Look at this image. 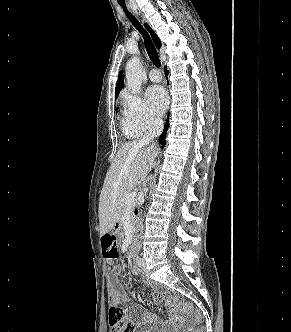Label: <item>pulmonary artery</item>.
Segmentation results:
<instances>
[{
  "instance_id": "pulmonary-artery-1",
  "label": "pulmonary artery",
  "mask_w": 291,
  "mask_h": 332,
  "mask_svg": "<svg viewBox=\"0 0 291 332\" xmlns=\"http://www.w3.org/2000/svg\"><path fill=\"white\" fill-rule=\"evenodd\" d=\"M149 79L152 82H159V81H161L162 76H161L160 72L157 69H152L149 72Z\"/></svg>"
}]
</instances>
